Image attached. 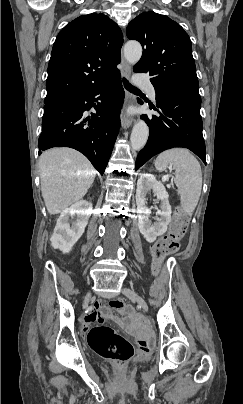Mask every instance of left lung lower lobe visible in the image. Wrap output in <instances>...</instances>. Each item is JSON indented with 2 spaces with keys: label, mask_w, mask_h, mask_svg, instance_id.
Listing matches in <instances>:
<instances>
[{
  "label": "left lung lower lobe",
  "mask_w": 243,
  "mask_h": 404,
  "mask_svg": "<svg viewBox=\"0 0 243 404\" xmlns=\"http://www.w3.org/2000/svg\"><path fill=\"white\" fill-rule=\"evenodd\" d=\"M159 117L142 118L149 126V139L136 159L138 170L160 152L174 148H188L206 164V149L202 135L199 94L178 91H156Z\"/></svg>",
  "instance_id": "1"
}]
</instances>
